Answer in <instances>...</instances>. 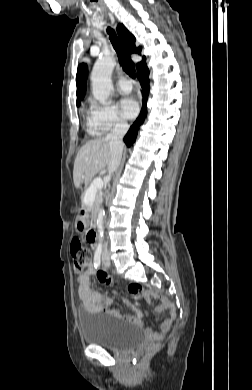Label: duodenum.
<instances>
[{
  "instance_id": "1",
  "label": "duodenum",
  "mask_w": 252,
  "mask_h": 390,
  "mask_svg": "<svg viewBox=\"0 0 252 390\" xmlns=\"http://www.w3.org/2000/svg\"><path fill=\"white\" fill-rule=\"evenodd\" d=\"M81 214H82V217H83V219H86V217H87V212L85 211V210H83L82 212H81ZM91 231V244H95V242H96V238H97V235H96V231L94 230V229H92V230H90Z\"/></svg>"
}]
</instances>
